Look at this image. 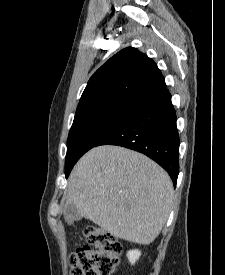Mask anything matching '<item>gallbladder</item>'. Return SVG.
<instances>
[{
    "label": "gallbladder",
    "mask_w": 225,
    "mask_h": 275,
    "mask_svg": "<svg viewBox=\"0 0 225 275\" xmlns=\"http://www.w3.org/2000/svg\"><path fill=\"white\" fill-rule=\"evenodd\" d=\"M64 218L68 223L81 220L82 216L74 204L68 205L64 210Z\"/></svg>",
    "instance_id": "gallbladder-1"
}]
</instances>
